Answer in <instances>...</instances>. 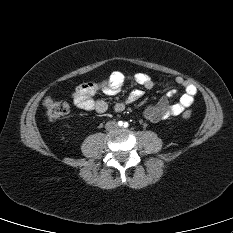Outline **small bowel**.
<instances>
[{
	"label": "small bowel",
	"instance_id": "1",
	"mask_svg": "<svg viewBox=\"0 0 233 233\" xmlns=\"http://www.w3.org/2000/svg\"><path fill=\"white\" fill-rule=\"evenodd\" d=\"M133 81L138 85L151 89L154 86L152 77L146 73H137L132 77ZM125 76L120 71L112 72L109 77L101 82H86L76 87L72 93V100L75 106L85 111H93L96 113H104L108 109V104L104 100H95L93 96L101 92L105 95L112 96L117 94L123 83ZM176 84L183 87L184 93L179 101L175 104H169V98L173 97L177 91L170 90L163 96L156 105L146 107L144 116L151 122H159L169 117L181 115L188 107H190L197 94V87L189 80L183 77L175 78ZM143 92L139 89H134L126 99L127 103H133L142 97ZM125 109V102L117 101L113 105V110L116 113H121Z\"/></svg>",
	"mask_w": 233,
	"mask_h": 233
}]
</instances>
